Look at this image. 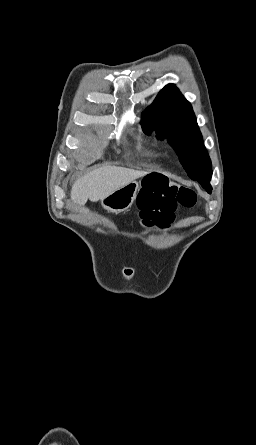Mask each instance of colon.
I'll use <instances>...</instances> for the list:
<instances>
[{"label":"colon","instance_id":"1","mask_svg":"<svg viewBox=\"0 0 256 445\" xmlns=\"http://www.w3.org/2000/svg\"><path fill=\"white\" fill-rule=\"evenodd\" d=\"M141 222L144 226L158 223L168 226L178 207L192 208L198 205L196 193L168 178L155 175L145 179L137 198Z\"/></svg>","mask_w":256,"mask_h":445}]
</instances>
